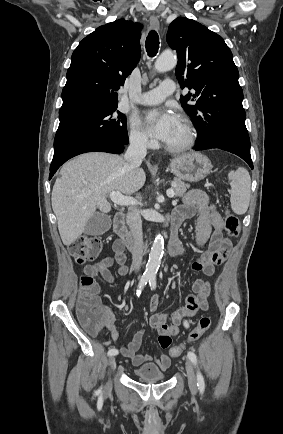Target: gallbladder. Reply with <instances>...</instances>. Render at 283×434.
Returning <instances> with one entry per match:
<instances>
[{"mask_svg":"<svg viewBox=\"0 0 283 434\" xmlns=\"http://www.w3.org/2000/svg\"><path fill=\"white\" fill-rule=\"evenodd\" d=\"M111 218L102 213H96L89 219L85 226V234L87 235H101L107 232L111 227Z\"/></svg>","mask_w":283,"mask_h":434,"instance_id":"obj_1","label":"gallbladder"}]
</instances>
